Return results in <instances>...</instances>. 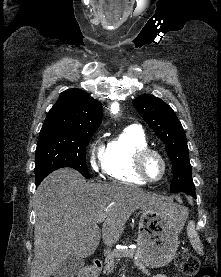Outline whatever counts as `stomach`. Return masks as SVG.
I'll use <instances>...</instances> for the list:
<instances>
[{
  "mask_svg": "<svg viewBox=\"0 0 221 277\" xmlns=\"http://www.w3.org/2000/svg\"><path fill=\"white\" fill-rule=\"evenodd\" d=\"M187 211L179 205L141 211L137 237L138 258L144 266L159 268L174 258Z\"/></svg>",
  "mask_w": 221,
  "mask_h": 277,
  "instance_id": "obj_1",
  "label": "stomach"
}]
</instances>
